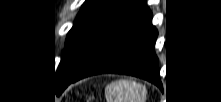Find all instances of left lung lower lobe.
Wrapping results in <instances>:
<instances>
[{"label":"left lung lower lobe","mask_w":221,"mask_h":102,"mask_svg":"<svg viewBox=\"0 0 221 102\" xmlns=\"http://www.w3.org/2000/svg\"><path fill=\"white\" fill-rule=\"evenodd\" d=\"M157 36L150 9L145 2L139 1L84 66L59 86L60 89L82 78L102 73L132 75L160 87L159 60L154 51Z\"/></svg>","instance_id":"0a47b994"}]
</instances>
